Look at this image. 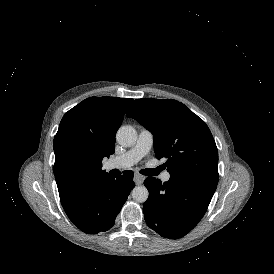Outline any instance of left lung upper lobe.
I'll return each instance as SVG.
<instances>
[{
  "instance_id": "5c2ea615",
  "label": "left lung upper lobe",
  "mask_w": 274,
  "mask_h": 274,
  "mask_svg": "<svg viewBox=\"0 0 274 274\" xmlns=\"http://www.w3.org/2000/svg\"><path fill=\"white\" fill-rule=\"evenodd\" d=\"M154 136L158 159L166 158L170 177L217 186L218 151L206 123L173 99H137L126 114Z\"/></svg>"
}]
</instances>
